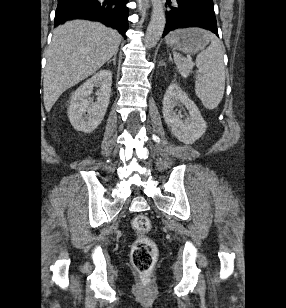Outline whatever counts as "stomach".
<instances>
[{"label": "stomach", "mask_w": 286, "mask_h": 308, "mask_svg": "<svg viewBox=\"0 0 286 308\" xmlns=\"http://www.w3.org/2000/svg\"><path fill=\"white\" fill-rule=\"evenodd\" d=\"M208 32L198 28L178 30L166 38V43L184 53L194 54L203 50L209 43Z\"/></svg>", "instance_id": "0dacf381"}]
</instances>
